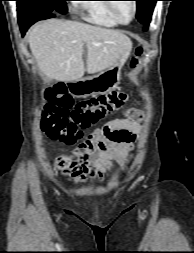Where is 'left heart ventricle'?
<instances>
[{
    "label": "left heart ventricle",
    "mask_w": 194,
    "mask_h": 253,
    "mask_svg": "<svg viewBox=\"0 0 194 253\" xmlns=\"http://www.w3.org/2000/svg\"><path fill=\"white\" fill-rule=\"evenodd\" d=\"M115 6L118 14L124 21H127L131 18L134 10L132 1H118L115 2Z\"/></svg>",
    "instance_id": "b2bd125f"
}]
</instances>
